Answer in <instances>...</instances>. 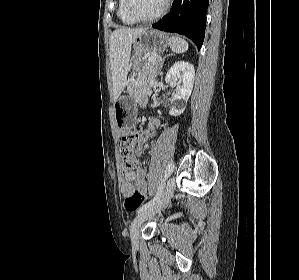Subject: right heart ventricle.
Returning <instances> with one entry per match:
<instances>
[{"instance_id":"e07e8e85","label":"right heart ventricle","mask_w":299,"mask_h":280,"mask_svg":"<svg viewBox=\"0 0 299 280\" xmlns=\"http://www.w3.org/2000/svg\"><path fill=\"white\" fill-rule=\"evenodd\" d=\"M118 16L121 22L125 25H134L136 23L129 17L126 12V0L118 1Z\"/></svg>"}]
</instances>
